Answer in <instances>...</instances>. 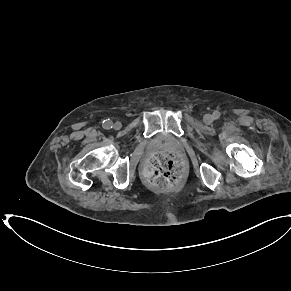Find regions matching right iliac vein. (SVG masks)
Returning a JSON list of instances; mask_svg holds the SVG:
<instances>
[{
  "label": "right iliac vein",
  "mask_w": 291,
  "mask_h": 291,
  "mask_svg": "<svg viewBox=\"0 0 291 291\" xmlns=\"http://www.w3.org/2000/svg\"><path fill=\"white\" fill-rule=\"evenodd\" d=\"M121 126L122 125H121L120 122H116L113 127H114L115 130H119L121 128Z\"/></svg>",
  "instance_id": "obj_1"
}]
</instances>
